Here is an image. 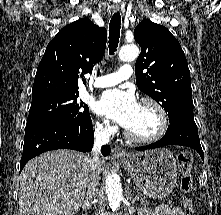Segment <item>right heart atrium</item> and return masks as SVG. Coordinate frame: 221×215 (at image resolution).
I'll return each instance as SVG.
<instances>
[{"label": "right heart atrium", "instance_id": "d8ad5b80", "mask_svg": "<svg viewBox=\"0 0 221 215\" xmlns=\"http://www.w3.org/2000/svg\"><path fill=\"white\" fill-rule=\"evenodd\" d=\"M95 130L102 136H108L114 133L115 128L110 124L109 121L102 119L96 121Z\"/></svg>", "mask_w": 221, "mask_h": 215}]
</instances>
